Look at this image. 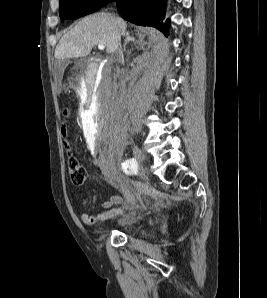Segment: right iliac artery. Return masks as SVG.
<instances>
[{
    "label": "right iliac artery",
    "mask_w": 267,
    "mask_h": 298,
    "mask_svg": "<svg viewBox=\"0 0 267 298\" xmlns=\"http://www.w3.org/2000/svg\"><path fill=\"white\" fill-rule=\"evenodd\" d=\"M124 165H126L125 168H128V167L131 168L133 166H137V162L134 159H130L126 163H124Z\"/></svg>",
    "instance_id": "obj_1"
}]
</instances>
